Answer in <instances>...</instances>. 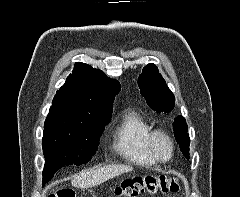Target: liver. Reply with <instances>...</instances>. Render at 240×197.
Listing matches in <instances>:
<instances>
[{"mask_svg":"<svg viewBox=\"0 0 240 197\" xmlns=\"http://www.w3.org/2000/svg\"><path fill=\"white\" fill-rule=\"evenodd\" d=\"M132 166L108 165L80 172L71 181L73 187L88 189L123 173L131 172Z\"/></svg>","mask_w":240,"mask_h":197,"instance_id":"6515ba94","label":"liver"}]
</instances>
